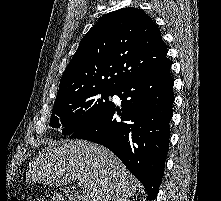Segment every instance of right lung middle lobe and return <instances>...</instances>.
I'll return each mask as SVG.
<instances>
[{
  "mask_svg": "<svg viewBox=\"0 0 221 201\" xmlns=\"http://www.w3.org/2000/svg\"><path fill=\"white\" fill-rule=\"evenodd\" d=\"M114 92V89L93 88L56 99L50 126L61 128L64 135L72 134L104 112L112 103L109 96Z\"/></svg>",
  "mask_w": 221,
  "mask_h": 201,
  "instance_id": "right-lung-middle-lobe-1",
  "label": "right lung middle lobe"
}]
</instances>
